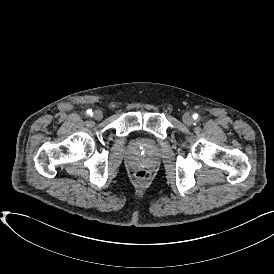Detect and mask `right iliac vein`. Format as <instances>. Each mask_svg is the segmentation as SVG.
I'll use <instances>...</instances> for the list:
<instances>
[{"mask_svg": "<svg viewBox=\"0 0 274 274\" xmlns=\"http://www.w3.org/2000/svg\"><path fill=\"white\" fill-rule=\"evenodd\" d=\"M93 117L96 119V120H101L103 118V113L101 110H95L94 113H93Z\"/></svg>", "mask_w": 274, "mask_h": 274, "instance_id": "right-iliac-vein-1", "label": "right iliac vein"}]
</instances>
